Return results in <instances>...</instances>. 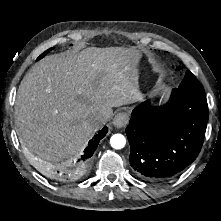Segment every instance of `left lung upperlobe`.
Wrapping results in <instances>:
<instances>
[{"instance_id": "5c2ea615", "label": "left lung upper lobe", "mask_w": 221, "mask_h": 221, "mask_svg": "<svg viewBox=\"0 0 221 221\" xmlns=\"http://www.w3.org/2000/svg\"><path fill=\"white\" fill-rule=\"evenodd\" d=\"M178 89L190 95L205 96L202 85L190 71L186 72L185 77L179 85Z\"/></svg>"}]
</instances>
